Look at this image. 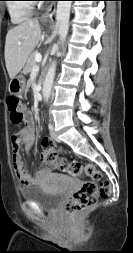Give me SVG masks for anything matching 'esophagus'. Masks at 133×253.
Instances as JSON below:
<instances>
[{"instance_id": "esophagus-1", "label": "esophagus", "mask_w": 133, "mask_h": 253, "mask_svg": "<svg viewBox=\"0 0 133 253\" xmlns=\"http://www.w3.org/2000/svg\"><path fill=\"white\" fill-rule=\"evenodd\" d=\"M56 11V3H51L46 11L42 14L41 18L43 20H49L52 19L53 15L55 14Z\"/></svg>"}]
</instances>
